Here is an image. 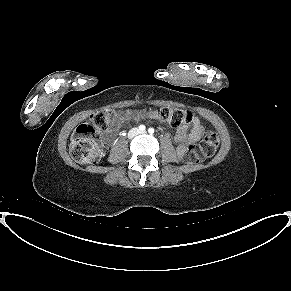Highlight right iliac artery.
<instances>
[{"label":"right iliac artery","mask_w":291,"mask_h":291,"mask_svg":"<svg viewBox=\"0 0 291 291\" xmlns=\"http://www.w3.org/2000/svg\"><path fill=\"white\" fill-rule=\"evenodd\" d=\"M145 129H146V127H145L144 125H140V126H139V130H141V131H145Z\"/></svg>","instance_id":"82829eb1"}]
</instances>
